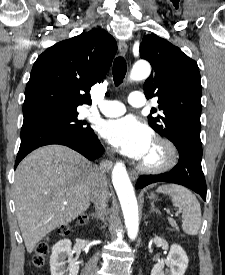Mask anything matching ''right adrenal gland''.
I'll return each instance as SVG.
<instances>
[{
	"mask_svg": "<svg viewBox=\"0 0 225 275\" xmlns=\"http://www.w3.org/2000/svg\"><path fill=\"white\" fill-rule=\"evenodd\" d=\"M90 216L95 219L99 218L97 213H91Z\"/></svg>",
	"mask_w": 225,
	"mask_h": 275,
	"instance_id": "2a0ac1e0",
	"label": "right adrenal gland"
}]
</instances>
